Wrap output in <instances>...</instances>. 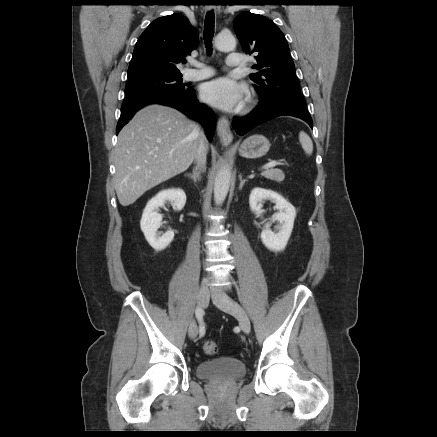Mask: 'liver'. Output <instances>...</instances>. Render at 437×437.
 <instances>
[{
    "label": "liver",
    "instance_id": "1",
    "mask_svg": "<svg viewBox=\"0 0 437 437\" xmlns=\"http://www.w3.org/2000/svg\"><path fill=\"white\" fill-rule=\"evenodd\" d=\"M202 138L199 126L171 107L152 104L122 128L114 149V187L122 206L184 172Z\"/></svg>",
    "mask_w": 437,
    "mask_h": 437
}]
</instances>
